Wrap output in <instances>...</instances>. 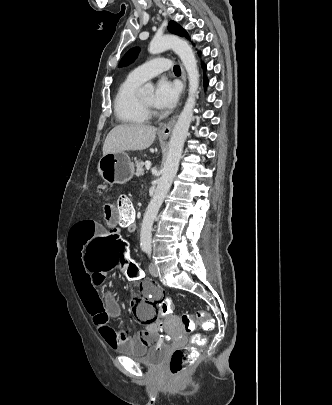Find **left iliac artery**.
<instances>
[{"instance_id": "left-iliac-artery-1", "label": "left iliac artery", "mask_w": 332, "mask_h": 405, "mask_svg": "<svg viewBox=\"0 0 332 405\" xmlns=\"http://www.w3.org/2000/svg\"><path fill=\"white\" fill-rule=\"evenodd\" d=\"M146 252L148 253V255L150 256V254H151V249L150 248H148L147 250H146Z\"/></svg>"}]
</instances>
